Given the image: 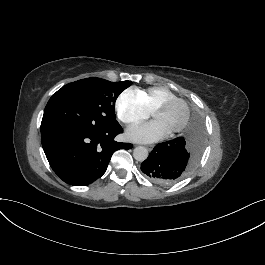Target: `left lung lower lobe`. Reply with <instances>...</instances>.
Listing matches in <instances>:
<instances>
[{
    "label": "left lung lower lobe",
    "mask_w": 265,
    "mask_h": 265,
    "mask_svg": "<svg viewBox=\"0 0 265 265\" xmlns=\"http://www.w3.org/2000/svg\"><path fill=\"white\" fill-rule=\"evenodd\" d=\"M205 142L199 115L189 121L182 136L154 147L142 162V172L158 184H172L186 177L198 163Z\"/></svg>",
    "instance_id": "1"
}]
</instances>
